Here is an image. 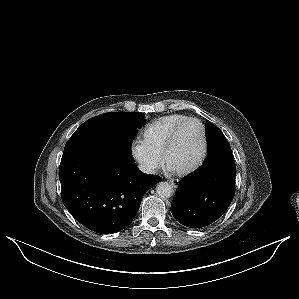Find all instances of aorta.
Listing matches in <instances>:
<instances>
[{
  "label": "aorta",
  "instance_id": "obj_1",
  "mask_svg": "<svg viewBox=\"0 0 299 299\" xmlns=\"http://www.w3.org/2000/svg\"><path fill=\"white\" fill-rule=\"evenodd\" d=\"M156 192L159 197L167 199L172 195V187L168 182H160L156 187Z\"/></svg>",
  "mask_w": 299,
  "mask_h": 299
}]
</instances>
